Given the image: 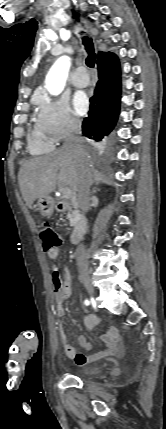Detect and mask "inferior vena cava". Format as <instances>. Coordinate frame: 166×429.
I'll return each instance as SVG.
<instances>
[{"instance_id": "inferior-vena-cava-1", "label": "inferior vena cava", "mask_w": 166, "mask_h": 429, "mask_svg": "<svg viewBox=\"0 0 166 429\" xmlns=\"http://www.w3.org/2000/svg\"><path fill=\"white\" fill-rule=\"evenodd\" d=\"M80 135L81 123L78 120L71 119L63 148L72 151L81 160L78 183V201L80 208L86 211L89 206L90 186L92 184V170L87 156L83 151V147L81 145L83 140ZM76 258L78 261L86 260V250L83 244L78 246L76 250Z\"/></svg>"}]
</instances>
